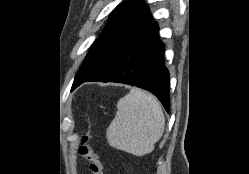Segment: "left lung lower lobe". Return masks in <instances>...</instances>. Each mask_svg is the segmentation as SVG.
I'll return each instance as SVG.
<instances>
[{
    "label": "left lung lower lobe",
    "mask_w": 249,
    "mask_h": 174,
    "mask_svg": "<svg viewBox=\"0 0 249 174\" xmlns=\"http://www.w3.org/2000/svg\"><path fill=\"white\" fill-rule=\"evenodd\" d=\"M154 21L131 37L112 59L89 78L74 80L72 90L85 81L119 82L153 93L169 113V72L164 63V44Z\"/></svg>",
    "instance_id": "obj_1"
}]
</instances>
